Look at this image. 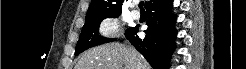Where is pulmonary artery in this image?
Instances as JSON below:
<instances>
[{
	"label": "pulmonary artery",
	"mask_w": 246,
	"mask_h": 69,
	"mask_svg": "<svg viewBox=\"0 0 246 69\" xmlns=\"http://www.w3.org/2000/svg\"><path fill=\"white\" fill-rule=\"evenodd\" d=\"M131 16H132L134 19H138V18L140 17V12L134 10V11H132Z\"/></svg>",
	"instance_id": "obj_1"
}]
</instances>
